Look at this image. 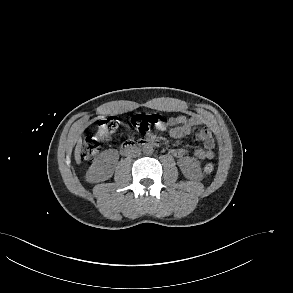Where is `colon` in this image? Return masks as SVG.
<instances>
[{"instance_id": "colon-1", "label": "colon", "mask_w": 293, "mask_h": 293, "mask_svg": "<svg viewBox=\"0 0 293 293\" xmlns=\"http://www.w3.org/2000/svg\"><path fill=\"white\" fill-rule=\"evenodd\" d=\"M163 123V117L155 113L134 114L126 123V127L133 132L144 133L157 128ZM121 121L117 117H107L99 121L97 131L86 136L81 146V159L90 162L99 153L101 142L108 140L120 127ZM214 170L212 163H207L203 167L206 174Z\"/></svg>"}]
</instances>
